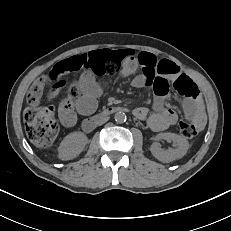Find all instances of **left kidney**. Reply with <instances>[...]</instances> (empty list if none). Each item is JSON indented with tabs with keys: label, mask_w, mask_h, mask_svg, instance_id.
<instances>
[{
	"label": "left kidney",
	"mask_w": 231,
	"mask_h": 231,
	"mask_svg": "<svg viewBox=\"0 0 231 231\" xmlns=\"http://www.w3.org/2000/svg\"><path fill=\"white\" fill-rule=\"evenodd\" d=\"M158 139L172 140L175 148L163 150L156 143L151 145L150 151L152 155L161 162H171L182 158L189 148L188 141L178 134L174 133H160Z\"/></svg>",
	"instance_id": "left-kidney-1"
}]
</instances>
